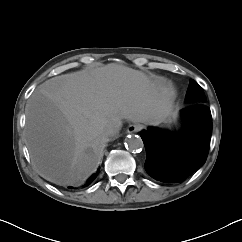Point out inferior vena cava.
Here are the masks:
<instances>
[{
    "label": "inferior vena cava",
    "mask_w": 242,
    "mask_h": 242,
    "mask_svg": "<svg viewBox=\"0 0 242 242\" xmlns=\"http://www.w3.org/2000/svg\"><path fill=\"white\" fill-rule=\"evenodd\" d=\"M119 130L115 125H108L105 129V134L111 138H114L118 135Z\"/></svg>",
    "instance_id": "obj_1"
}]
</instances>
